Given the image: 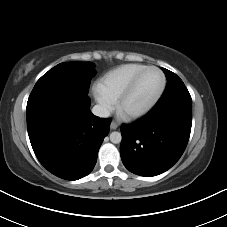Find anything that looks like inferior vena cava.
Wrapping results in <instances>:
<instances>
[{"mask_svg": "<svg viewBox=\"0 0 227 227\" xmlns=\"http://www.w3.org/2000/svg\"><path fill=\"white\" fill-rule=\"evenodd\" d=\"M92 113L101 118H108L110 116V111L102 105H95L92 108Z\"/></svg>", "mask_w": 227, "mask_h": 227, "instance_id": "obj_1", "label": "inferior vena cava"}]
</instances>
